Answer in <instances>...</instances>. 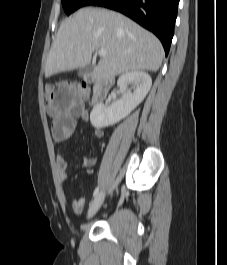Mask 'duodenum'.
<instances>
[{
    "label": "duodenum",
    "mask_w": 227,
    "mask_h": 265,
    "mask_svg": "<svg viewBox=\"0 0 227 265\" xmlns=\"http://www.w3.org/2000/svg\"><path fill=\"white\" fill-rule=\"evenodd\" d=\"M88 81H93L92 77H87ZM112 80L109 78H97L94 81V88H93V95L91 104L93 106L100 104L104 99L107 97L111 87H112Z\"/></svg>",
    "instance_id": "410a0bca"
}]
</instances>
